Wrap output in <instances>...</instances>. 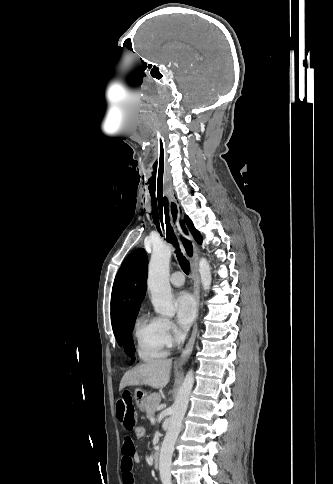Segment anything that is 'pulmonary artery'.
I'll return each mask as SVG.
<instances>
[{"label": "pulmonary artery", "instance_id": "e3ab8cb5", "mask_svg": "<svg viewBox=\"0 0 333 484\" xmlns=\"http://www.w3.org/2000/svg\"><path fill=\"white\" fill-rule=\"evenodd\" d=\"M170 282L175 287H181L184 284V275L180 271H175L170 276Z\"/></svg>", "mask_w": 333, "mask_h": 484}]
</instances>
